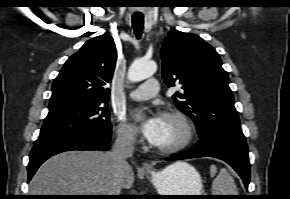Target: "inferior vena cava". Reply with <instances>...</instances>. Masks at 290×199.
<instances>
[{
  "label": "inferior vena cava",
  "instance_id": "obj_1",
  "mask_svg": "<svg viewBox=\"0 0 290 199\" xmlns=\"http://www.w3.org/2000/svg\"><path fill=\"white\" fill-rule=\"evenodd\" d=\"M134 152V134L132 131H120L117 139L109 152L114 163L115 174L113 187L109 195H121V183L124 170L129 166L126 161Z\"/></svg>",
  "mask_w": 290,
  "mask_h": 199
}]
</instances>
